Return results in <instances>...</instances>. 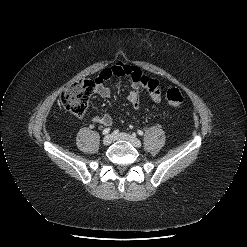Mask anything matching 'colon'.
<instances>
[{"instance_id":"1","label":"colon","mask_w":247,"mask_h":247,"mask_svg":"<svg viewBox=\"0 0 247 247\" xmlns=\"http://www.w3.org/2000/svg\"><path fill=\"white\" fill-rule=\"evenodd\" d=\"M96 80H81L69 86L61 95L62 107L74 115H82L88 105L89 98L96 90ZM166 100L173 109L178 108L183 97L177 88H169L166 91Z\"/></svg>"}]
</instances>
